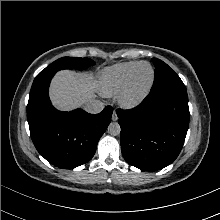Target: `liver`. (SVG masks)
Returning a JSON list of instances; mask_svg holds the SVG:
<instances>
[{"mask_svg":"<svg viewBox=\"0 0 220 220\" xmlns=\"http://www.w3.org/2000/svg\"><path fill=\"white\" fill-rule=\"evenodd\" d=\"M49 95L57 109L69 111L95 97V83L90 74L62 70L52 79Z\"/></svg>","mask_w":220,"mask_h":220,"instance_id":"6515ba94","label":"liver"}]
</instances>
